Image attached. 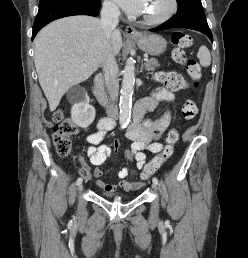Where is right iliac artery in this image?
Wrapping results in <instances>:
<instances>
[{
  "label": "right iliac artery",
  "mask_w": 248,
  "mask_h": 258,
  "mask_svg": "<svg viewBox=\"0 0 248 258\" xmlns=\"http://www.w3.org/2000/svg\"><path fill=\"white\" fill-rule=\"evenodd\" d=\"M82 181H83V180H82V178H81V177H79V178L77 179V181H76V184H77V185H79V184H81V183H82Z\"/></svg>",
  "instance_id": "obj_1"
}]
</instances>
